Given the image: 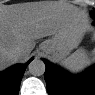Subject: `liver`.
I'll return each mask as SVG.
<instances>
[{
  "mask_svg": "<svg viewBox=\"0 0 95 95\" xmlns=\"http://www.w3.org/2000/svg\"><path fill=\"white\" fill-rule=\"evenodd\" d=\"M70 23H81L82 14L73 7L56 3H25L3 5L0 8V66L5 69L28 58L35 40L55 35ZM21 48L17 58L13 51Z\"/></svg>",
  "mask_w": 95,
  "mask_h": 95,
  "instance_id": "1",
  "label": "liver"
}]
</instances>
